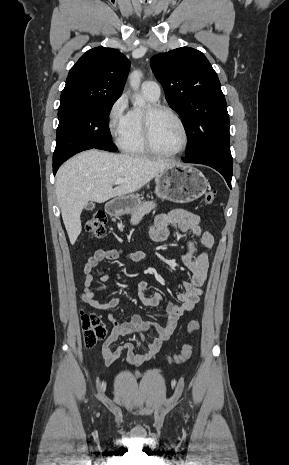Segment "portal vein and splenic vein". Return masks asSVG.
<instances>
[{"mask_svg":"<svg viewBox=\"0 0 289 465\" xmlns=\"http://www.w3.org/2000/svg\"><path fill=\"white\" fill-rule=\"evenodd\" d=\"M122 182H124V180L118 179V180L115 181V184H116V185H119V184H121Z\"/></svg>","mask_w":289,"mask_h":465,"instance_id":"1","label":"portal vein and splenic vein"}]
</instances>
